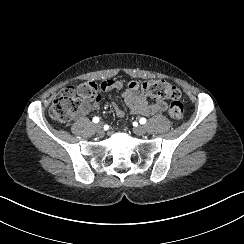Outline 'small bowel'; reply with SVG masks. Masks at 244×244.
I'll use <instances>...</instances> for the list:
<instances>
[{"instance_id":"obj_1","label":"small bowel","mask_w":244,"mask_h":244,"mask_svg":"<svg viewBox=\"0 0 244 244\" xmlns=\"http://www.w3.org/2000/svg\"><path fill=\"white\" fill-rule=\"evenodd\" d=\"M105 92H116L123 99L125 105L131 113L143 116H149L156 113H162L167 110V104L164 101L149 102L146 97L133 96L128 89H124V83L121 80H107L102 84ZM101 107V102L82 103L77 110V117L81 118ZM112 108L118 117L124 116V111L116 102H112Z\"/></svg>"}]
</instances>
